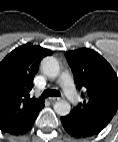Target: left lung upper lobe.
<instances>
[{
	"instance_id": "1",
	"label": "left lung upper lobe",
	"mask_w": 118,
	"mask_h": 142,
	"mask_svg": "<svg viewBox=\"0 0 118 142\" xmlns=\"http://www.w3.org/2000/svg\"><path fill=\"white\" fill-rule=\"evenodd\" d=\"M66 57L84 98L70 115L98 133L111 121L118 108L117 75L109 63L93 50L70 51Z\"/></svg>"
}]
</instances>
